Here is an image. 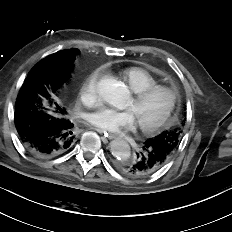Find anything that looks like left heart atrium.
Instances as JSON below:
<instances>
[{"mask_svg": "<svg viewBox=\"0 0 232 232\" xmlns=\"http://www.w3.org/2000/svg\"><path fill=\"white\" fill-rule=\"evenodd\" d=\"M85 119L90 125L111 133L131 130L136 125V119L130 110H115L108 107H100L88 113Z\"/></svg>", "mask_w": 232, "mask_h": 232, "instance_id": "obj_1", "label": "left heart atrium"}]
</instances>
